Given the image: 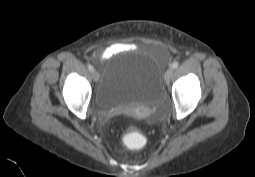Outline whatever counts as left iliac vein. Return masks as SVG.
Wrapping results in <instances>:
<instances>
[{
  "label": "left iliac vein",
  "instance_id": "1",
  "mask_svg": "<svg viewBox=\"0 0 255 177\" xmlns=\"http://www.w3.org/2000/svg\"><path fill=\"white\" fill-rule=\"evenodd\" d=\"M172 75H173V68L167 69V71L165 72V75H164V80H165L166 84H168L170 82Z\"/></svg>",
  "mask_w": 255,
  "mask_h": 177
}]
</instances>
